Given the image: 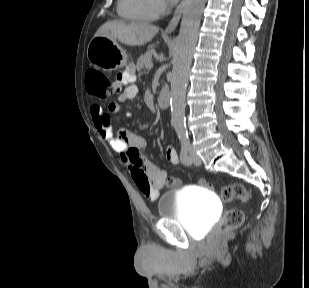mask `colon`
Returning <instances> with one entry per match:
<instances>
[{
	"mask_svg": "<svg viewBox=\"0 0 309 288\" xmlns=\"http://www.w3.org/2000/svg\"><path fill=\"white\" fill-rule=\"evenodd\" d=\"M85 85L91 95L102 99L110 97L114 92H119L122 88L116 82L112 83L102 72L93 69L87 72ZM179 184L180 180L177 177L166 179L168 187H177ZM200 185L203 187L209 186L206 180H201ZM219 196L224 202H231L235 199L246 202L249 198L246 188L241 183H232L220 187ZM243 222L244 213L240 209L228 210L215 232V237H220L228 231L241 226Z\"/></svg>",
	"mask_w": 309,
	"mask_h": 288,
	"instance_id": "colon-1",
	"label": "colon"
}]
</instances>
